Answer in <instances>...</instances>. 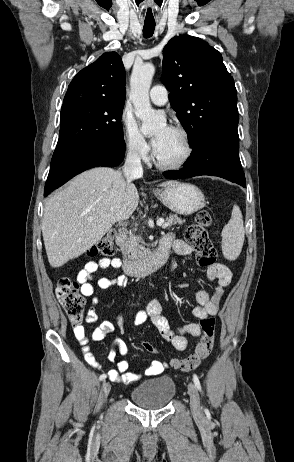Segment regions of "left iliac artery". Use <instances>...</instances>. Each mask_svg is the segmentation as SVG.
Listing matches in <instances>:
<instances>
[{"label": "left iliac artery", "mask_w": 294, "mask_h": 462, "mask_svg": "<svg viewBox=\"0 0 294 462\" xmlns=\"http://www.w3.org/2000/svg\"><path fill=\"white\" fill-rule=\"evenodd\" d=\"M193 381H194V384L197 387V389L199 391H201V384H200L199 378H198V376L196 374L193 375Z\"/></svg>", "instance_id": "44dca946"}]
</instances>
